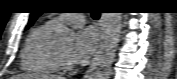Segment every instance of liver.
<instances>
[{
	"label": "liver",
	"mask_w": 177,
	"mask_h": 79,
	"mask_svg": "<svg viewBox=\"0 0 177 79\" xmlns=\"http://www.w3.org/2000/svg\"><path fill=\"white\" fill-rule=\"evenodd\" d=\"M12 79H61L56 76H29V75H17L13 76Z\"/></svg>",
	"instance_id": "obj_1"
}]
</instances>
